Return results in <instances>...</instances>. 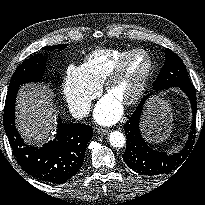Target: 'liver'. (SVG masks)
<instances>
[{
  "instance_id": "6515ba94",
  "label": "liver",
  "mask_w": 205,
  "mask_h": 205,
  "mask_svg": "<svg viewBox=\"0 0 205 205\" xmlns=\"http://www.w3.org/2000/svg\"><path fill=\"white\" fill-rule=\"evenodd\" d=\"M52 97L45 86L27 84L20 88L16 101V122L26 142L40 145L53 134L56 110Z\"/></svg>"
}]
</instances>
